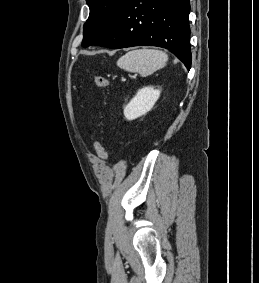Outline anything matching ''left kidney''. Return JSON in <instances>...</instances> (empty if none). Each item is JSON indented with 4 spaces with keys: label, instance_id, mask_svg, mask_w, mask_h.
Segmentation results:
<instances>
[{
    "label": "left kidney",
    "instance_id": "obj_1",
    "mask_svg": "<svg viewBox=\"0 0 259 283\" xmlns=\"http://www.w3.org/2000/svg\"><path fill=\"white\" fill-rule=\"evenodd\" d=\"M159 97L160 90L151 86L140 89L124 108V116L130 121L145 115L153 108Z\"/></svg>",
    "mask_w": 259,
    "mask_h": 283
}]
</instances>
